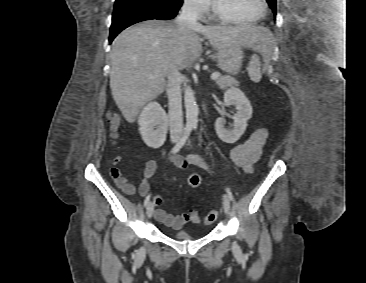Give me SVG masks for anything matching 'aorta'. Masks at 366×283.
Masks as SVG:
<instances>
[{
  "label": "aorta",
  "instance_id": "762f6f07",
  "mask_svg": "<svg viewBox=\"0 0 366 283\" xmlns=\"http://www.w3.org/2000/svg\"><path fill=\"white\" fill-rule=\"evenodd\" d=\"M184 104L186 109V124L189 127H196L198 124V105L195 100L194 91L187 86L184 91Z\"/></svg>",
  "mask_w": 366,
  "mask_h": 283
}]
</instances>
